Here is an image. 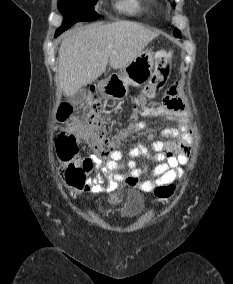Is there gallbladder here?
<instances>
[{
	"mask_svg": "<svg viewBox=\"0 0 233 284\" xmlns=\"http://www.w3.org/2000/svg\"><path fill=\"white\" fill-rule=\"evenodd\" d=\"M87 96H88V90L84 86L74 96L71 97V102L74 105L81 104L86 100Z\"/></svg>",
	"mask_w": 233,
	"mask_h": 284,
	"instance_id": "bac80fb5",
	"label": "gallbladder"
}]
</instances>
